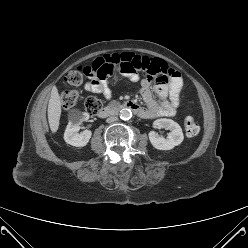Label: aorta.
I'll return each instance as SVG.
<instances>
[{
	"label": "aorta",
	"mask_w": 248,
	"mask_h": 248,
	"mask_svg": "<svg viewBox=\"0 0 248 248\" xmlns=\"http://www.w3.org/2000/svg\"><path fill=\"white\" fill-rule=\"evenodd\" d=\"M132 117V111L128 108H124L120 111V118L122 120H129Z\"/></svg>",
	"instance_id": "1"
}]
</instances>
